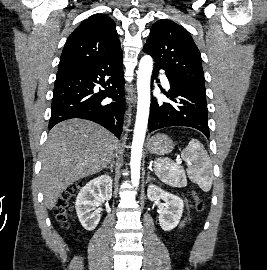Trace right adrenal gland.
Segmentation results:
<instances>
[{
	"instance_id": "2a0ac1e0",
	"label": "right adrenal gland",
	"mask_w": 267,
	"mask_h": 270,
	"mask_svg": "<svg viewBox=\"0 0 267 270\" xmlns=\"http://www.w3.org/2000/svg\"><path fill=\"white\" fill-rule=\"evenodd\" d=\"M113 167H114V162H111V163H110V166L106 167L105 169H106V170L109 169L110 172L113 173Z\"/></svg>"
}]
</instances>
